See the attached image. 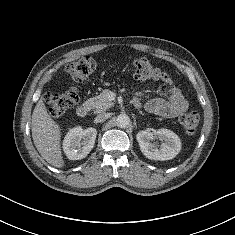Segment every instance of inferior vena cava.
<instances>
[{"label": "inferior vena cava", "mask_w": 235, "mask_h": 235, "mask_svg": "<svg viewBox=\"0 0 235 235\" xmlns=\"http://www.w3.org/2000/svg\"><path fill=\"white\" fill-rule=\"evenodd\" d=\"M110 117V115L108 113H101L99 115L96 116L95 118V122L96 123H100L105 121L106 119H108Z\"/></svg>", "instance_id": "obj_1"}]
</instances>
